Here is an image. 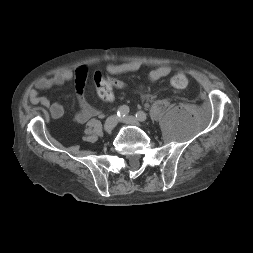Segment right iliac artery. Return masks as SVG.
<instances>
[{
  "instance_id": "right-iliac-artery-1",
  "label": "right iliac artery",
  "mask_w": 253,
  "mask_h": 253,
  "mask_svg": "<svg viewBox=\"0 0 253 253\" xmlns=\"http://www.w3.org/2000/svg\"><path fill=\"white\" fill-rule=\"evenodd\" d=\"M129 107L126 105H122L118 108L116 114L118 117H124L129 113Z\"/></svg>"
}]
</instances>
